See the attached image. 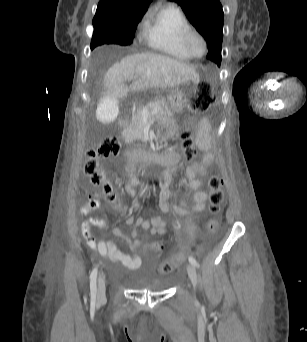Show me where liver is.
Returning <instances> with one entry per match:
<instances>
[{"instance_id": "obj_1", "label": "liver", "mask_w": 307, "mask_h": 342, "mask_svg": "<svg viewBox=\"0 0 307 342\" xmlns=\"http://www.w3.org/2000/svg\"><path fill=\"white\" fill-rule=\"evenodd\" d=\"M120 62L113 64L104 76L106 94L122 95L127 98L128 92H143L149 88H176L184 82H197L198 74L189 64L174 60L161 54H132L120 56ZM125 82H132L127 86Z\"/></svg>"}]
</instances>
